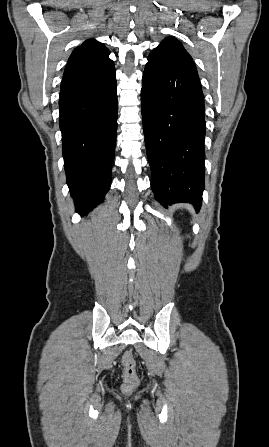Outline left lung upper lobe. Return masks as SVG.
Listing matches in <instances>:
<instances>
[{"mask_svg": "<svg viewBox=\"0 0 269 447\" xmlns=\"http://www.w3.org/2000/svg\"><path fill=\"white\" fill-rule=\"evenodd\" d=\"M154 50L177 53L193 61L191 56L182 47L181 43L177 41L175 38H167L166 40L162 41V43Z\"/></svg>", "mask_w": 269, "mask_h": 447, "instance_id": "left-lung-upper-lobe-1", "label": "left lung upper lobe"}]
</instances>
